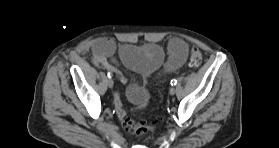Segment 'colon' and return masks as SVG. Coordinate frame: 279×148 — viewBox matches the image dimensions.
<instances>
[{
  "instance_id": "1",
  "label": "colon",
  "mask_w": 279,
  "mask_h": 148,
  "mask_svg": "<svg viewBox=\"0 0 279 148\" xmlns=\"http://www.w3.org/2000/svg\"><path fill=\"white\" fill-rule=\"evenodd\" d=\"M189 62L194 68H198L202 63V54L196 47L190 49ZM122 125L125 130L134 135L146 136L155 132L157 121H137L131 117H124L122 119Z\"/></svg>"
}]
</instances>
